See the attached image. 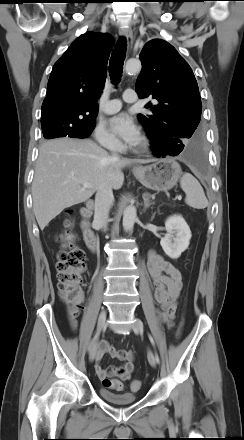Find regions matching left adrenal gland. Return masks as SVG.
<instances>
[{
	"label": "left adrenal gland",
	"instance_id": "a2214340",
	"mask_svg": "<svg viewBox=\"0 0 244 440\" xmlns=\"http://www.w3.org/2000/svg\"><path fill=\"white\" fill-rule=\"evenodd\" d=\"M143 200H144V211H146V209H148L151 205L154 204V202H150V194H144Z\"/></svg>",
	"mask_w": 244,
	"mask_h": 440
}]
</instances>
